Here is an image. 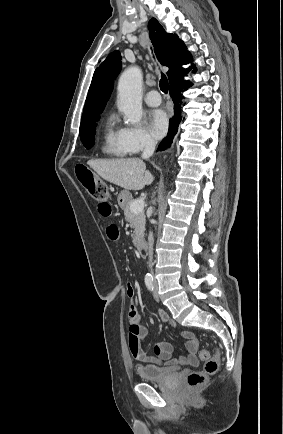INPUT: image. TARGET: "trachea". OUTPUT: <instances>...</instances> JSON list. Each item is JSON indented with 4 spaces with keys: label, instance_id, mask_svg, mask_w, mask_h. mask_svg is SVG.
<instances>
[{
    "label": "trachea",
    "instance_id": "3493384b",
    "mask_svg": "<svg viewBox=\"0 0 283 434\" xmlns=\"http://www.w3.org/2000/svg\"><path fill=\"white\" fill-rule=\"evenodd\" d=\"M160 89L165 94L168 93L169 84H168L167 77L163 73L161 74V79H160Z\"/></svg>",
    "mask_w": 283,
    "mask_h": 434
}]
</instances>
